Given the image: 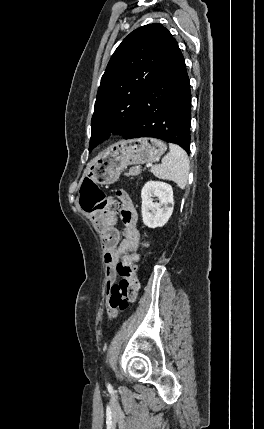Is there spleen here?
<instances>
[{"label": "spleen", "mask_w": 264, "mask_h": 429, "mask_svg": "<svg viewBox=\"0 0 264 429\" xmlns=\"http://www.w3.org/2000/svg\"><path fill=\"white\" fill-rule=\"evenodd\" d=\"M170 152L162 158L160 165L152 168V173L159 179L173 181L181 189L187 185L189 159L186 152L178 145L169 143Z\"/></svg>", "instance_id": "3e777b00"}]
</instances>
